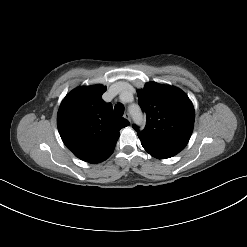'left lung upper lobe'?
Masks as SVG:
<instances>
[{"instance_id":"5c2ea615","label":"left lung upper lobe","mask_w":247,"mask_h":247,"mask_svg":"<svg viewBox=\"0 0 247 247\" xmlns=\"http://www.w3.org/2000/svg\"><path fill=\"white\" fill-rule=\"evenodd\" d=\"M139 105L146 113V126L133 125L144 148L176 155L187 145L193 131L194 108L181 90L155 82L137 91Z\"/></svg>"}]
</instances>
